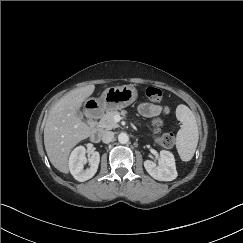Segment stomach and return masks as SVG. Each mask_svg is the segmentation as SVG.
Instances as JSON below:
<instances>
[{
  "label": "stomach",
  "mask_w": 243,
  "mask_h": 243,
  "mask_svg": "<svg viewBox=\"0 0 243 243\" xmlns=\"http://www.w3.org/2000/svg\"><path fill=\"white\" fill-rule=\"evenodd\" d=\"M137 96V89L133 85L109 87L98 100L88 99L86 104L93 101L105 110H117L132 104Z\"/></svg>",
  "instance_id": "0dacf381"
}]
</instances>
